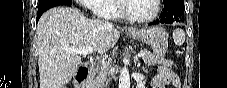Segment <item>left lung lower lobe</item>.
<instances>
[{"label":"left lung lower lobe","instance_id":"left-lung-lower-lobe-1","mask_svg":"<svg viewBox=\"0 0 227 88\" xmlns=\"http://www.w3.org/2000/svg\"><path fill=\"white\" fill-rule=\"evenodd\" d=\"M164 10L161 17L150 23L149 25L159 24V23H176L179 21L181 15L184 13V1L183 0H163Z\"/></svg>","mask_w":227,"mask_h":88}]
</instances>
